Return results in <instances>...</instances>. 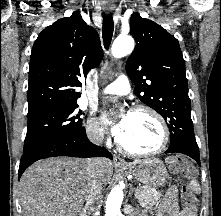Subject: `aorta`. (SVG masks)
<instances>
[{
    "label": "aorta",
    "instance_id": "762f6f07",
    "mask_svg": "<svg viewBox=\"0 0 221 216\" xmlns=\"http://www.w3.org/2000/svg\"><path fill=\"white\" fill-rule=\"evenodd\" d=\"M134 49V39L131 36H118L112 45V55L115 58H121L130 54ZM123 188L114 187L106 200L105 216H118L123 201Z\"/></svg>",
    "mask_w": 221,
    "mask_h": 216
}]
</instances>
